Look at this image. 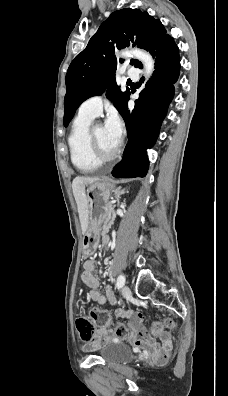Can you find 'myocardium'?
I'll use <instances>...</instances> for the list:
<instances>
[{
    "instance_id": "f54148a6",
    "label": "myocardium",
    "mask_w": 228,
    "mask_h": 396,
    "mask_svg": "<svg viewBox=\"0 0 228 396\" xmlns=\"http://www.w3.org/2000/svg\"><path fill=\"white\" fill-rule=\"evenodd\" d=\"M101 125V124H95L89 128L88 131V146H89V151L92 156V158L99 164L107 163L110 161H113L116 159L121 151V143H118L117 148L115 151L111 154L105 155L103 154L98 146V143L96 141L95 137V128L96 126Z\"/></svg>"
}]
</instances>
